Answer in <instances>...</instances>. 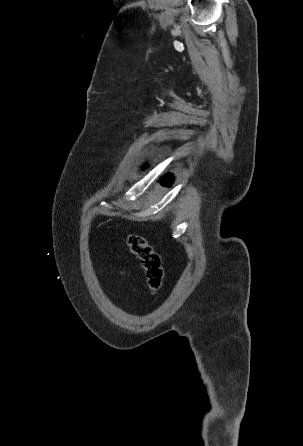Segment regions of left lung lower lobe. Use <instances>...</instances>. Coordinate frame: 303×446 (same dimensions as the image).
<instances>
[{"label": "left lung lower lobe", "mask_w": 303, "mask_h": 446, "mask_svg": "<svg viewBox=\"0 0 303 446\" xmlns=\"http://www.w3.org/2000/svg\"><path fill=\"white\" fill-rule=\"evenodd\" d=\"M171 179L172 177L170 175L167 176V178L162 180V183L166 186H170L171 185Z\"/></svg>", "instance_id": "0a47b994"}]
</instances>
